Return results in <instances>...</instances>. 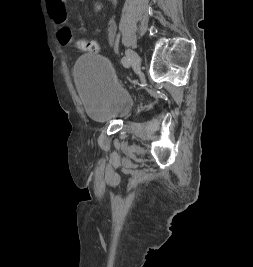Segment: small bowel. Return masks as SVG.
Returning a JSON list of instances; mask_svg holds the SVG:
<instances>
[{
    "label": "small bowel",
    "mask_w": 253,
    "mask_h": 267,
    "mask_svg": "<svg viewBox=\"0 0 253 267\" xmlns=\"http://www.w3.org/2000/svg\"><path fill=\"white\" fill-rule=\"evenodd\" d=\"M78 1L83 2L85 0ZM46 4L54 22L60 26H67L68 13L66 10L65 0H46ZM116 32L117 24L115 20L112 19L109 21L106 29L107 39L110 44H114Z\"/></svg>",
    "instance_id": "1"
}]
</instances>
